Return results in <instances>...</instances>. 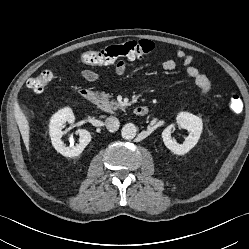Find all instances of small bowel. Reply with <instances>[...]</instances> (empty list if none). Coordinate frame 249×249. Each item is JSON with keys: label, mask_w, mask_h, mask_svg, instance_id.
Here are the masks:
<instances>
[{"label": "small bowel", "mask_w": 249, "mask_h": 249, "mask_svg": "<svg viewBox=\"0 0 249 249\" xmlns=\"http://www.w3.org/2000/svg\"><path fill=\"white\" fill-rule=\"evenodd\" d=\"M177 60L168 59L162 63V68L167 71L175 70L180 63L185 70L186 75L191 78L196 86L198 87L202 95H206L211 90V82L209 78L200 72V70L192 65L193 57L187 54L183 50H178L176 52ZM126 71V64L123 60H120L115 65V73L117 75H123ZM80 74L83 79L87 81H95L99 78V73L93 69L83 67L80 70Z\"/></svg>", "instance_id": "1"}]
</instances>
